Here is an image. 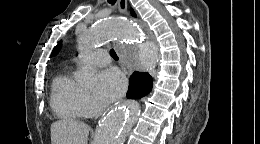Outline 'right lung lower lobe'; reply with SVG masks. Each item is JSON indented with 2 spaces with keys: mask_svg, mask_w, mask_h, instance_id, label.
<instances>
[{
  "mask_svg": "<svg viewBox=\"0 0 260 144\" xmlns=\"http://www.w3.org/2000/svg\"><path fill=\"white\" fill-rule=\"evenodd\" d=\"M153 79L147 72L135 71L129 79L127 98L138 99L152 90Z\"/></svg>",
  "mask_w": 260,
  "mask_h": 144,
  "instance_id": "obj_1",
  "label": "right lung lower lobe"
}]
</instances>
